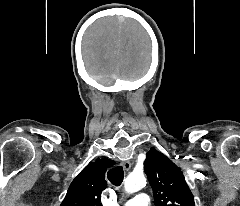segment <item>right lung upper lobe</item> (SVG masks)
<instances>
[{"instance_id":"right-lung-upper-lobe-1","label":"right lung upper lobe","mask_w":240,"mask_h":206,"mask_svg":"<svg viewBox=\"0 0 240 206\" xmlns=\"http://www.w3.org/2000/svg\"><path fill=\"white\" fill-rule=\"evenodd\" d=\"M113 164L108 159L88 164L72 181L60 206H102L101 192L107 187L104 174Z\"/></svg>"}]
</instances>
